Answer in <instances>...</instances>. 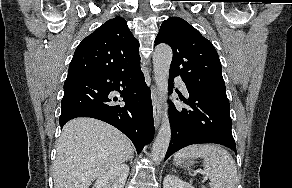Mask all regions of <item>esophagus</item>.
<instances>
[{
    "mask_svg": "<svg viewBox=\"0 0 292 188\" xmlns=\"http://www.w3.org/2000/svg\"><path fill=\"white\" fill-rule=\"evenodd\" d=\"M151 100H152V106H153L154 126L157 129L161 121L162 106H161L159 93L154 86L152 87V91H151Z\"/></svg>",
    "mask_w": 292,
    "mask_h": 188,
    "instance_id": "34e87169",
    "label": "esophagus"
}]
</instances>
